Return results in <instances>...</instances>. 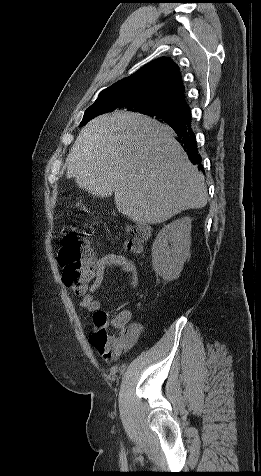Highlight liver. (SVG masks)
I'll list each match as a JSON object with an SVG mask.
<instances>
[{
  "label": "liver",
  "instance_id": "1",
  "mask_svg": "<svg viewBox=\"0 0 261 476\" xmlns=\"http://www.w3.org/2000/svg\"><path fill=\"white\" fill-rule=\"evenodd\" d=\"M67 177L98 196L114 193L120 213L140 225L162 223L207 204L204 175L167 125L117 111L91 120L76 138Z\"/></svg>",
  "mask_w": 261,
  "mask_h": 476
}]
</instances>
